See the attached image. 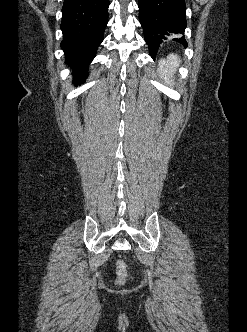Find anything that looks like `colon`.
<instances>
[{
	"mask_svg": "<svg viewBox=\"0 0 247 332\" xmlns=\"http://www.w3.org/2000/svg\"><path fill=\"white\" fill-rule=\"evenodd\" d=\"M117 285H123L127 279V268L123 261H118L116 266Z\"/></svg>",
	"mask_w": 247,
	"mask_h": 332,
	"instance_id": "colon-1",
	"label": "colon"
}]
</instances>
